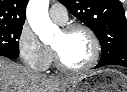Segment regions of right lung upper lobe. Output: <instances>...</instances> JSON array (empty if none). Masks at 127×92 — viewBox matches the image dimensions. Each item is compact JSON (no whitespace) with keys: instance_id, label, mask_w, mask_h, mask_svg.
I'll use <instances>...</instances> for the list:
<instances>
[{"instance_id":"right-lung-upper-lobe-1","label":"right lung upper lobe","mask_w":127,"mask_h":92,"mask_svg":"<svg viewBox=\"0 0 127 92\" xmlns=\"http://www.w3.org/2000/svg\"><path fill=\"white\" fill-rule=\"evenodd\" d=\"M28 0H0V26H19L25 22Z\"/></svg>"}]
</instances>
